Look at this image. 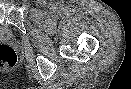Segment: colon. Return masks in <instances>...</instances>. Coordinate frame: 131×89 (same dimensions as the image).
<instances>
[{
    "mask_svg": "<svg viewBox=\"0 0 131 89\" xmlns=\"http://www.w3.org/2000/svg\"><path fill=\"white\" fill-rule=\"evenodd\" d=\"M17 62L15 51L8 45H0V67H13Z\"/></svg>",
    "mask_w": 131,
    "mask_h": 89,
    "instance_id": "1",
    "label": "colon"
}]
</instances>
